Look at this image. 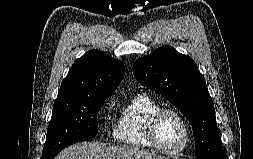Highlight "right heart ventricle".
<instances>
[{
  "label": "right heart ventricle",
  "instance_id": "1",
  "mask_svg": "<svg viewBox=\"0 0 253 159\" xmlns=\"http://www.w3.org/2000/svg\"><path fill=\"white\" fill-rule=\"evenodd\" d=\"M161 106L151 96L140 93L135 95L124 107L113 128L117 143L135 149H151L146 135L149 117Z\"/></svg>",
  "mask_w": 253,
  "mask_h": 159
}]
</instances>
